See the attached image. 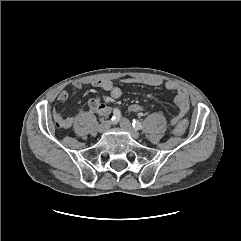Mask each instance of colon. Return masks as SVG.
<instances>
[{"label": "colon", "mask_w": 241, "mask_h": 241, "mask_svg": "<svg viewBox=\"0 0 241 241\" xmlns=\"http://www.w3.org/2000/svg\"><path fill=\"white\" fill-rule=\"evenodd\" d=\"M129 112L132 114H140L143 112L144 107L139 103H133L128 108ZM188 127V121L186 119H179L174 125V132L177 135H181Z\"/></svg>", "instance_id": "5ec220e1"}]
</instances>
